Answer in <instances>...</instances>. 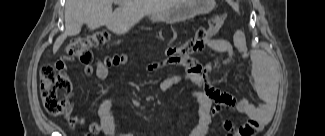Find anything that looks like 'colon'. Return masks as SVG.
Here are the masks:
<instances>
[{"instance_id":"5ec220e1","label":"colon","mask_w":325,"mask_h":136,"mask_svg":"<svg viewBox=\"0 0 325 136\" xmlns=\"http://www.w3.org/2000/svg\"><path fill=\"white\" fill-rule=\"evenodd\" d=\"M225 17H214L209 25L199 29L191 38L177 47L168 49V55L174 60L188 61L193 55L207 48L208 42L220 31ZM110 39L106 31H93L73 39L66 48V57L78 60L83 64L94 61L93 50L104 46ZM126 60V56L108 57L106 65H119ZM40 93L44 109L50 115H61L67 110L68 93L62 87L60 79L52 66H44L40 72Z\"/></svg>"}]
</instances>
